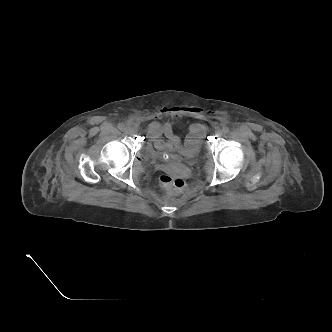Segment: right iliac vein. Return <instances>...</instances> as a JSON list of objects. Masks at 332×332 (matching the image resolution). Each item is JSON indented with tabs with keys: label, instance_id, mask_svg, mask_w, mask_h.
Returning a JSON list of instances; mask_svg holds the SVG:
<instances>
[{
	"label": "right iliac vein",
	"instance_id": "right-iliac-vein-1",
	"mask_svg": "<svg viewBox=\"0 0 332 332\" xmlns=\"http://www.w3.org/2000/svg\"><path fill=\"white\" fill-rule=\"evenodd\" d=\"M124 130L126 133H129V134L133 133V128L130 126L126 127Z\"/></svg>",
	"mask_w": 332,
	"mask_h": 332
}]
</instances>
